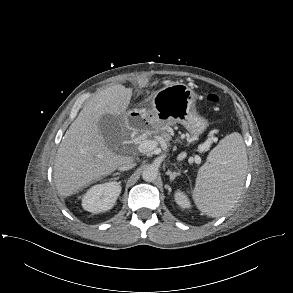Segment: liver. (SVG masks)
<instances>
[{
  "label": "liver",
  "mask_w": 293,
  "mask_h": 293,
  "mask_svg": "<svg viewBox=\"0 0 293 293\" xmlns=\"http://www.w3.org/2000/svg\"><path fill=\"white\" fill-rule=\"evenodd\" d=\"M131 96L132 89L123 85L108 87L93 96L70 125L54 164V182L60 196L66 198L76 194L92 182L110 175L125 161V156L113 152L106 143L99 121L105 114H125Z\"/></svg>",
  "instance_id": "6515ba94"
}]
</instances>
